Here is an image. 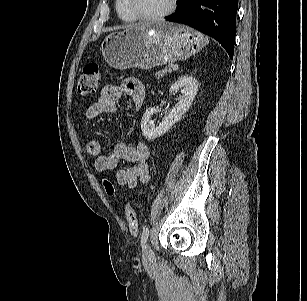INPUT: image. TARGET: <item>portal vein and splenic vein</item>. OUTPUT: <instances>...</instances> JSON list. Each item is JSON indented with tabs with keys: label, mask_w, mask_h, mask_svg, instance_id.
Returning a JSON list of instances; mask_svg holds the SVG:
<instances>
[{
	"label": "portal vein and splenic vein",
	"mask_w": 307,
	"mask_h": 301,
	"mask_svg": "<svg viewBox=\"0 0 307 301\" xmlns=\"http://www.w3.org/2000/svg\"><path fill=\"white\" fill-rule=\"evenodd\" d=\"M169 67L170 68H174V64H169Z\"/></svg>",
	"instance_id": "18ae733b"
}]
</instances>
